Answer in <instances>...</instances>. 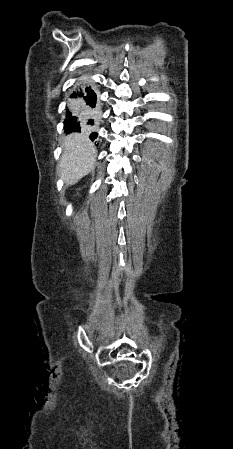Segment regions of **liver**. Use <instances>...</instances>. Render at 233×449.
Returning <instances> with one entry per match:
<instances>
[{"mask_svg": "<svg viewBox=\"0 0 233 449\" xmlns=\"http://www.w3.org/2000/svg\"><path fill=\"white\" fill-rule=\"evenodd\" d=\"M58 172L67 185L75 184L94 167L96 150L84 134H71L64 141Z\"/></svg>", "mask_w": 233, "mask_h": 449, "instance_id": "liver-1", "label": "liver"}]
</instances>
